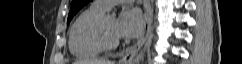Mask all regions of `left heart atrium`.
<instances>
[{"label":"left heart atrium","mask_w":242,"mask_h":64,"mask_svg":"<svg viewBox=\"0 0 242 64\" xmlns=\"http://www.w3.org/2000/svg\"><path fill=\"white\" fill-rule=\"evenodd\" d=\"M143 29V17L138 9H125L116 22L115 34L120 38H135Z\"/></svg>","instance_id":"1"}]
</instances>
